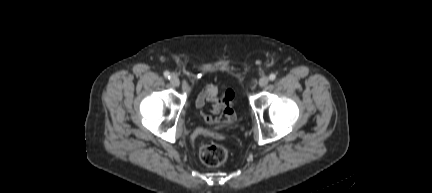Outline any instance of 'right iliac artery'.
<instances>
[{
  "mask_svg": "<svg viewBox=\"0 0 432 193\" xmlns=\"http://www.w3.org/2000/svg\"><path fill=\"white\" fill-rule=\"evenodd\" d=\"M164 76L165 78L170 79V73L168 71L164 72Z\"/></svg>",
  "mask_w": 432,
  "mask_h": 193,
  "instance_id": "82829eb1",
  "label": "right iliac artery"
}]
</instances>
